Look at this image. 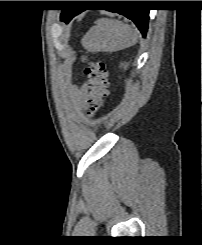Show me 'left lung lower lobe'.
Returning <instances> with one entry per match:
<instances>
[{"mask_svg":"<svg viewBox=\"0 0 202 245\" xmlns=\"http://www.w3.org/2000/svg\"><path fill=\"white\" fill-rule=\"evenodd\" d=\"M124 4L131 6H138L140 3L138 1H126ZM84 11L83 9H66L62 10V17L64 22L68 23L74 16ZM111 12H117L124 15L128 19L132 20L138 29L141 31L142 35L145 36L148 29L149 21V10L137 7L122 8V9H111Z\"/></svg>","mask_w":202,"mask_h":245,"instance_id":"left-lung-lower-lobe-1","label":"left lung lower lobe"}]
</instances>
